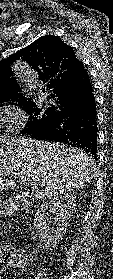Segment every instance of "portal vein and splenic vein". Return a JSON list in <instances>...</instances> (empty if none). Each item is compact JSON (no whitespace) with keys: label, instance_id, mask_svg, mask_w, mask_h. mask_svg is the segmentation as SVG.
<instances>
[{"label":"portal vein and splenic vein","instance_id":"portal-vein-and-splenic-vein-1","mask_svg":"<svg viewBox=\"0 0 113 279\" xmlns=\"http://www.w3.org/2000/svg\"><path fill=\"white\" fill-rule=\"evenodd\" d=\"M7 174H9V172H7ZM20 181H21L22 184H24L26 186H29V182L25 177H21Z\"/></svg>","mask_w":113,"mask_h":279}]
</instances>
